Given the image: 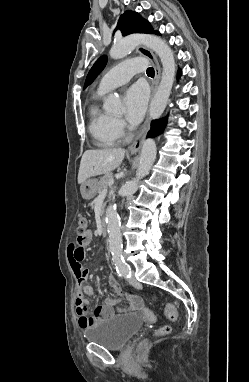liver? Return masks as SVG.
Masks as SVG:
<instances>
[{
  "mask_svg": "<svg viewBox=\"0 0 249 382\" xmlns=\"http://www.w3.org/2000/svg\"><path fill=\"white\" fill-rule=\"evenodd\" d=\"M125 155L122 148L92 149L84 152L79 172L78 183L82 184L88 178L106 174L118 168Z\"/></svg>",
  "mask_w": 249,
  "mask_h": 382,
  "instance_id": "1",
  "label": "liver"
}]
</instances>
